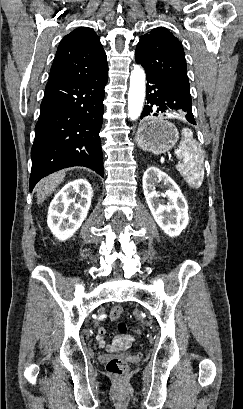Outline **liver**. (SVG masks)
<instances>
[{
  "mask_svg": "<svg viewBox=\"0 0 243 409\" xmlns=\"http://www.w3.org/2000/svg\"><path fill=\"white\" fill-rule=\"evenodd\" d=\"M66 173L65 170L55 172L42 179L36 186L37 203L40 204L62 183Z\"/></svg>",
  "mask_w": 243,
  "mask_h": 409,
  "instance_id": "1",
  "label": "liver"
}]
</instances>
